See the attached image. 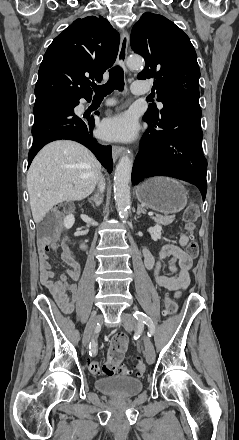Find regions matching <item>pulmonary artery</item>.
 Returning a JSON list of instances; mask_svg holds the SVG:
<instances>
[{
    "instance_id": "obj_1",
    "label": "pulmonary artery",
    "mask_w": 239,
    "mask_h": 440,
    "mask_svg": "<svg viewBox=\"0 0 239 440\" xmlns=\"http://www.w3.org/2000/svg\"><path fill=\"white\" fill-rule=\"evenodd\" d=\"M149 90V88L148 87H144L143 85H142V82H139V81H137V82H134L132 85H131V91L134 93V94H143V93H145V92H147ZM108 105H113V103H110V104H108ZM159 107L161 108L162 107V103H160L159 104Z\"/></svg>"
}]
</instances>
